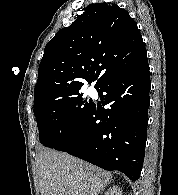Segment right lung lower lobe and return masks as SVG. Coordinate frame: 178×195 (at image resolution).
I'll return each mask as SVG.
<instances>
[{
    "instance_id": "obj_1",
    "label": "right lung lower lobe",
    "mask_w": 178,
    "mask_h": 195,
    "mask_svg": "<svg viewBox=\"0 0 178 195\" xmlns=\"http://www.w3.org/2000/svg\"><path fill=\"white\" fill-rule=\"evenodd\" d=\"M150 87L148 61L104 83L97 90L106 92L102 104L109 108L93 104L54 149L137 180L145 155Z\"/></svg>"
}]
</instances>
